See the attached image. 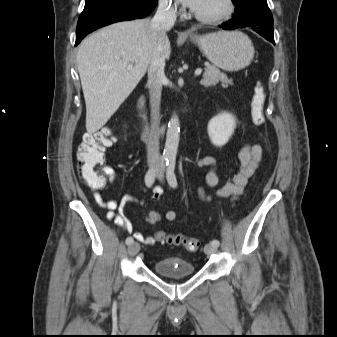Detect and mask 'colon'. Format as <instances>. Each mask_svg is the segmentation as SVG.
I'll list each match as a JSON object with an SVG mask.
<instances>
[{
    "instance_id": "1",
    "label": "colon",
    "mask_w": 337,
    "mask_h": 337,
    "mask_svg": "<svg viewBox=\"0 0 337 337\" xmlns=\"http://www.w3.org/2000/svg\"><path fill=\"white\" fill-rule=\"evenodd\" d=\"M266 92L264 86L257 82L253 86L251 100V114L255 124L265 123L264 105ZM115 141V136L110 130H100L94 133H85L77 149L79 171L84 181L93 189H101L106 184L104 173L105 150ZM157 240L169 245L182 246L188 251L199 248V240L183 234H168L157 231Z\"/></svg>"
}]
</instances>
